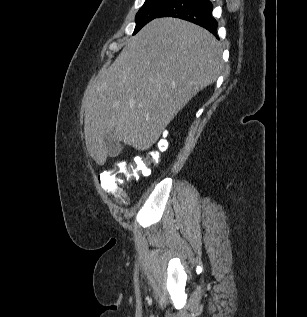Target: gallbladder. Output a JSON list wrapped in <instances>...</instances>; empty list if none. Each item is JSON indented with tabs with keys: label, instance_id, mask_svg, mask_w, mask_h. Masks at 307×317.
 Listing matches in <instances>:
<instances>
[{
	"label": "gallbladder",
	"instance_id": "gallbladder-1",
	"mask_svg": "<svg viewBox=\"0 0 307 317\" xmlns=\"http://www.w3.org/2000/svg\"><path fill=\"white\" fill-rule=\"evenodd\" d=\"M106 141L108 142V155L110 157H116L122 150L120 141L115 137L114 130H112L107 136Z\"/></svg>",
	"mask_w": 307,
	"mask_h": 317
}]
</instances>
